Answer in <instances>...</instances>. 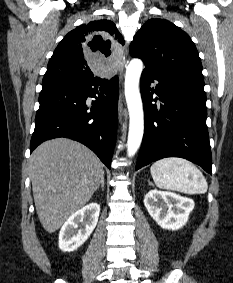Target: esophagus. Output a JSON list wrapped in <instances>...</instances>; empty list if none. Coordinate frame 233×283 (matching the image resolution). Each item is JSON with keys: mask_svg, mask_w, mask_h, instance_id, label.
<instances>
[{"mask_svg": "<svg viewBox=\"0 0 233 283\" xmlns=\"http://www.w3.org/2000/svg\"><path fill=\"white\" fill-rule=\"evenodd\" d=\"M118 116H119V121L121 122L122 121V104L119 103V106H118Z\"/></svg>", "mask_w": 233, "mask_h": 283, "instance_id": "34e87169", "label": "esophagus"}]
</instances>
